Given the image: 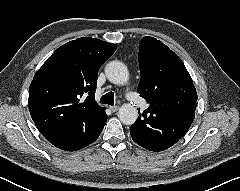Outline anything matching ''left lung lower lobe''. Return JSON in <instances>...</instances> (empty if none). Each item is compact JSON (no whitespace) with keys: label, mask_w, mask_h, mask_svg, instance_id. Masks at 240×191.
<instances>
[{"label":"left lung lower lobe","mask_w":240,"mask_h":191,"mask_svg":"<svg viewBox=\"0 0 240 191\" xmlns=\"http://www.w3.org/2000/svg\"><path fill=\"white\" fill-rule=\"evenodd\" d=\"M148 116L142 113L137 121L131 126L132 139L151 151H163L174 145L182 136L173 129L162 128L160 125L149 123Z\"/></svg>","instance_id":"obj_1"}]
</instances>
